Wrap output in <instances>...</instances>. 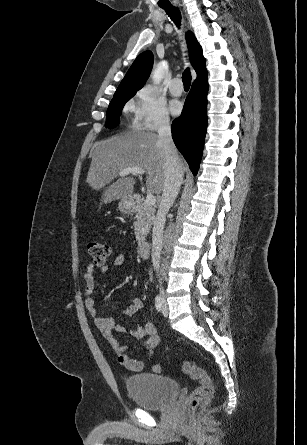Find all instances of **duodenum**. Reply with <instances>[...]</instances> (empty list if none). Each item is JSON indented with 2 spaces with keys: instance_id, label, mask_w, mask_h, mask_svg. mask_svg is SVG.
I'll return each mask as SVG.
<instances>
[{
  "instance_id": "1",
  "label": "duodenum",
  "mask_w": 307,
  "mask_h": 445,
  "mask_svg": "<svg viewBox=\"0 0 307 445\" xmlns=\"http://www.w3.org/2000/svg\"><path fill=\"white\" fill-rule=\"evenodd\" d=\"M141 201L139 196H135L132 198V204L137 205ZM151 245L149 242H142L138 245V253L141 257H147L150 252Z\"/></svg>"
}]
</instances>
